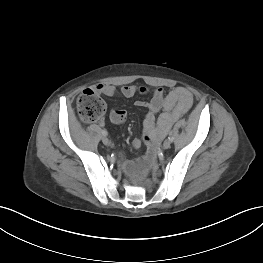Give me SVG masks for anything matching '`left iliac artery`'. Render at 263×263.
Here are the masks:
<instances>
[{
  "label": "left iliac artery",
  "instance_id": "obj_1",
  "mask_svg": "<svg viewBox=\"0 0 263 263\" xmlns=\"http://www.w3.org/2000/svg\"><path fill=\"white\" fill-rule=\"evenodd\" d=\"M168 139L172 142L174 140V137L172 134L169 135Z\"/></svg>",
  "mask_w": 263,
  "mask_h": 263
}]
</instances>
